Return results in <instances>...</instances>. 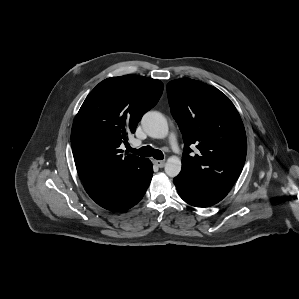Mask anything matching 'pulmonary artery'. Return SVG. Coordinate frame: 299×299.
<instances>
[{
    "mask_svg": "<svg viewBox=\"0 0 299 299\" xmlns=\"http://www.w3.org/2000/svg\"><path fill=\"white\" fill-rule=\"evenodd\" d=\"M140 144L139 141H134L133 145L134 146H138ZM169 144L170 147L172 148L173 151L177 152L178 151V142H177V138L175 136L174 133H171L169 136Z\"/></svg>",
    "mask_w": 299,
    "mask_h": 299,
    "instance_id": "obj_1",
    "label": "pulmonary artery"
}]
</instances>
